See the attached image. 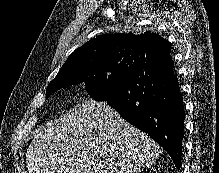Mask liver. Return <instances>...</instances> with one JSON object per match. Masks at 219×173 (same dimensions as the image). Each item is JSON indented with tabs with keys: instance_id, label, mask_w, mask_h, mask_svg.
<instances>
[{
	"instance_id": "1",
	"label": "liver",
	"mask_w": 219,
	"mask_h": 173,
	"mask_svg": "<svg viewBox=\"0 0 219 173\" xmlns=\"http://www.w3.org/2000/svg\"><path fill=\"white\" fill-rule=\"evenodd\" d=\"M162 150L105 102L86 101L36 130L29 173H140Z\"/></svg>"
}]
</instances>
